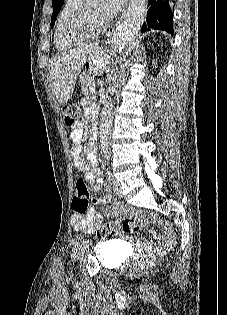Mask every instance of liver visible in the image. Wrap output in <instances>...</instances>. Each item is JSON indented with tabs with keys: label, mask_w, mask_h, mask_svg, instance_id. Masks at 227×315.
Listing matches in <instances>:
<instances>
[{
	"label": "liver",
	"mask_w": 227,
	"mask_h": 315,
	"mask_svg": "<svg viewBox=\"0 0 227 315\" xmlns=\"http://www.w3.org/2000/svg\"><path fill=\"white\" fill-rule=\"evenodd\" d=\"M110 52L99 48L98 44L94 43L54 57L51 60L49 72L52 90L58 103L64 105L72 97L77 77L89 55L93 56L94 70L102 72L107 69Z\"/></svg>",
	"instance_id": "6515ba94"
}]
</instances>
